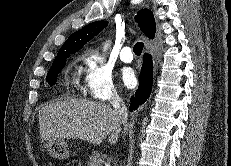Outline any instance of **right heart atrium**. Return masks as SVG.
I'll list each match as a JSON object with an SVG mask.
<instances>
[{"label": "right heart atrium", "mask_w": 231, "mask_h": 166, "mask_svg": "<svg viewBox=\"0 0 231 166\" xmlns=\"http://www.w3.org/2000/svg\"><path fill=\"white\" fill-rule=\"evenodd\" d=\"M85 63L84 90L94 100L117 99L118 90L114 84L110 69L102 57L93 51L84 54Z\"/></svg>", "instance_id": "d8ad5b80"}]
</instances>
